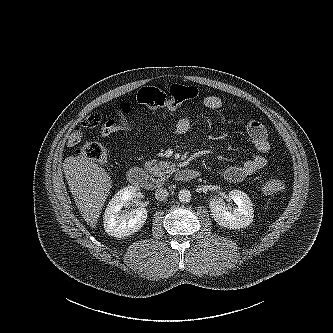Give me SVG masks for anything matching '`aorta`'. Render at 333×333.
<instances>
[{"label":"aorta","mask_w":333,"mask_h":333,"mask_svg":"<svg viewBox=\"0 0 333 333\" xmlns=\"http://www.w3.org/2000/svg\"><path fill=\"white\" fill-rule=\"evenodd\" d=\"M178 198L180 202L188 203L191 200V192L187 189H183L179 191Z\"/></svg>","instance_id":"aorta-1"}]
</instances>
